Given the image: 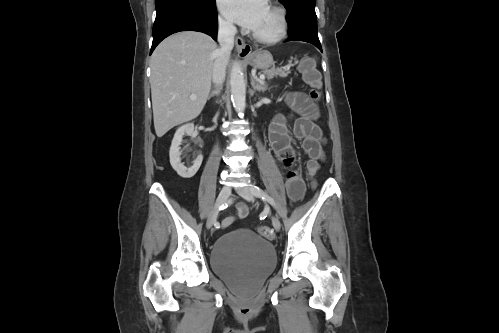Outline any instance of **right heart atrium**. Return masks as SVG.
Returning <instances> with one entry per match:
<instances>
[{
    "label": "right heart atrium",
    "mask_w": 499,
    "mask_h": 333,
    "mask_svg": "<svg viewBox=\"0 0 499 333\" xmlns=\"http://www.w3.org/2000/svg\"><path fill=\"white\" fill-rule=\"evenodd\" d=\"M219 26L222 30L226 32H231L233 30V26L223 18H219Z\"/></svg>",
    "instance_id": "d8ad5b80"
}]
</instances>
